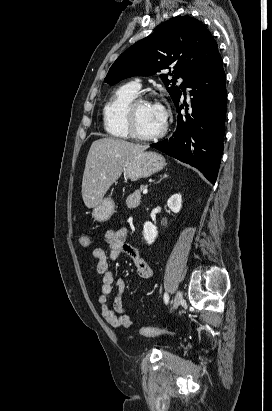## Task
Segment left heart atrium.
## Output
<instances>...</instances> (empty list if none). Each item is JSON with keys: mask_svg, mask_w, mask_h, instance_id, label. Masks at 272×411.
<instances>
[{"mask_svg": "<svg viewBox=\"0 0 272 411\" xmlns=\"http://www.w3.org/2000/svg\"><path fill=\"white\" fill-rule=\"evenodd\" d=\"M156 109L160 113V115L164 118V109L160 104H155Z\"/></svg>", "mask_w": 272, "mask_h": 411, "instance_id": "obj_1", "label": "left heart atrium"}]
</instances>
